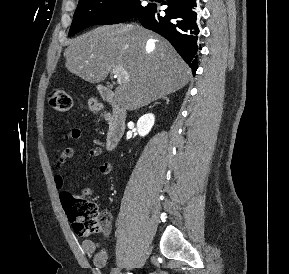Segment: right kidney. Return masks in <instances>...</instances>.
<instances>
[{
  "instance_id": "1",
  "label": "right kidney",
  "mask_w": 289,
  "mask_h": 274,
  "mask_svg": "<svg viewBox=\"0 0 289 274\" xmlns=\"http://www.w3.org/2000/svg\"><path fill=\"white\" fill-rule=\"evenodd\" d=\"M155 117L152 113L141 116L137 121V131L142 137L146 136L154 125Z\"/></svg>"
}]
</instances>
